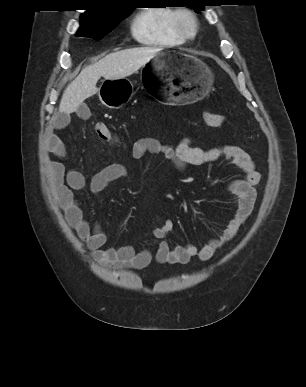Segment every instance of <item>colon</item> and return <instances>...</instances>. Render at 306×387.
<instances>
[{
  "mask_svg": "<svg viewBox=\"0 0 306 387\" xmlns=\"http://www.w3.org/2000/svg\"><path fill=\"white\" fill-rule=\"evenodd\" d=\"M204 118L207 125L215 128L220 127L224 122V117L217 113L207 112L205 113ZM95 131L101 140L109 143L116 142V138L107 124L102 122L97 123Z\"/></svg>",
  "mask_w": 306,
  "mask_h": 387,
  "instance_id": "1",
  "label": "colon"
}]
</instances>
